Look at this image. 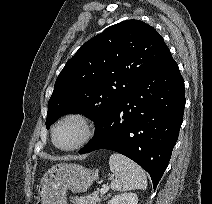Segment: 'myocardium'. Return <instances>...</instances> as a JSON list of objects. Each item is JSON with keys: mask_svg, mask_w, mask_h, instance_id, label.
I'll use <instances>...</instances> for the list:
<instances>
[{"mask_svg": "<svg viewBox=\"0 0 212 204\" xmlns=\"http://www.w3.org/2000/svg\"><path fill=\"white\" fill-rule=\"evenodd\" d=\"M67 121L78 122L82 127V136L74 145H72L70 147H62L57 144L56 139H55V134H56L57 128L61 124L65 123ZM93 135H94V124H93L92 120L87 115L80 113V112H70V113L63 115L55 122V124L53 125V127L51 129L52 143L54 144V146L56 148H58L62 151H74V150H77V149L83 147L91 140Z\"/></svg>", "mask_w": 212, "mask_h": 204, "instance_id": "myocardium-1", "label": "myocardium"}]
</instances>
